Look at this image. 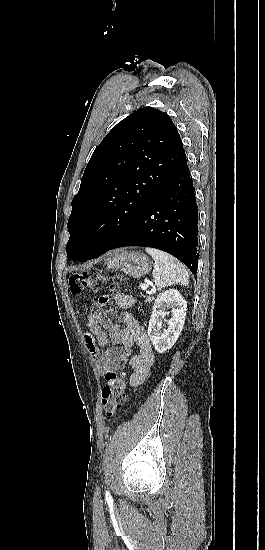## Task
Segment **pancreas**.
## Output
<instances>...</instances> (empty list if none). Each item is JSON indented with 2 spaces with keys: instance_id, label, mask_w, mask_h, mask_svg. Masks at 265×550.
Masks as SVG:
<instances>
[{
  "instance_id": "obj_1",
  "label": "pancreas",
  "mask_w": 265,
  "mask_h": 550,
  "mask_svg": "<svg viewBox=\"0 0 265 550\" xmlns=\"http://www.w3.org/2000/svg\"><path fill=\"white\" fill-rule=\"evenodd\" d=\"M146 298L145 302L151 303L153 301V296H144Z\"/></svg>"
}]
</instances>
